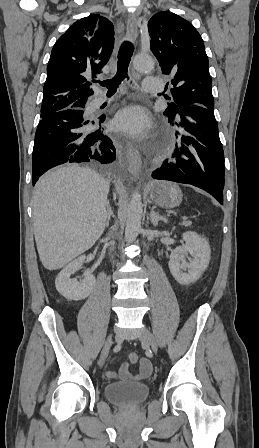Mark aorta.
Returning <instances> with one entry per match:
<instances>
[{
  "mask_svg": "<svg viewBox=\"0 0 259 448\" xmlns=\"http://www.w3.org/2000/svg\"><path fill=\"white\" fill-rule=\"evenodd\" d=\"M133 66L139 72L148 73L154 68V61L149 55L138 54L133 59ZM142 215V197L135 191L131 196L125 228V241L128 244L133 243L141 231Z\"/></svg>",
  "mask_w": 259,
  "mask_h": 448,
  "instance_id": "aorta-1",
  "label": "aorta"
}]
</instances>
